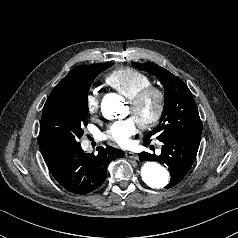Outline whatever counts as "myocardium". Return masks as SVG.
Instances as JSON below:
<instances>
[{"label": "myocardium", "mask_w": 238, "mask_h": 238, "mask_svg": "<svg viewBox=\"0 0 238 238\" xmlns=\"http://www.w3.org/2000/svg\"><path fill=\"white\" fill-rule=\"evenodd\" d=\"M150 101L154 103L152 113L138 121L143 129L154 126L161 119L165 108V94L160 87L149 84L129 99V104L134 114L140 113Z\"/></svg>", "instance_id": "myocardium-1"}]
</instances>
